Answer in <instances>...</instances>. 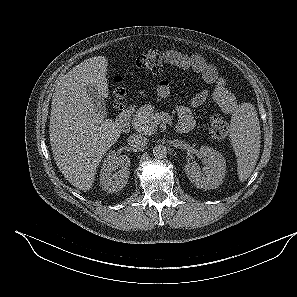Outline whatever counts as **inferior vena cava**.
<instances>
[{
	"instance_id": "inferior-vena-cava-1",
	"label": "inferior vena cava",
	"mask_w": 297,
	"mask_h": 297,
	"mask_svg": "<svg viewBox=\"0 0 297 297\" xmlns=\"http://www.w3.org/2000/svg\"><path fill=\"white\" fill-rule=\"evenodd\" d=\"M129 145L135 148H143L147 145L148 139L141 134H133L128 138Z\"/></svg>"
}]
</instances>
